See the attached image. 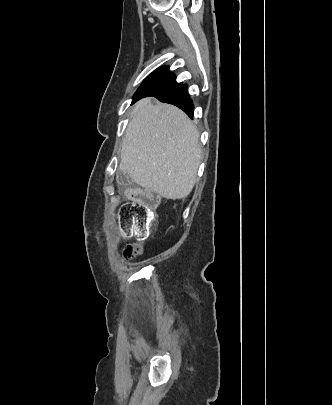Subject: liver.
<instances>
[{
    "instance_id": "1",
    "label": "liver",
    "mask_w": 332,
    "mask_h": 405,
    "mask_svg": "<svg viewBox=\"0 0 332 405\" xmlns=\"http://www.w3.org/2000/svg\"><path fill=\"white\" fill-rule=\"evenodd\" d=\"M201 161L199 134L179 108L139 100L125 132L120 169L166 199L187 196Z\"/></svg>"
}]
</instances>
